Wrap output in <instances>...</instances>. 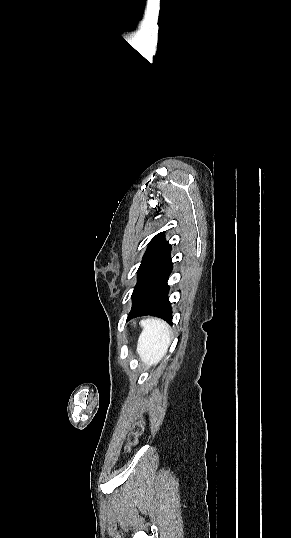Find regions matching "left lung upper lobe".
Listing matches in <instances>:
<instances>
[{
  "label": "left lung upper lobe",
  "instance_id": "1",
  "mask_svg": "<svg viewBox=\"0 0 291 538\" xmlns=\"http://www.w3.org/2000/svg\"><path fill=\"white\" fill-rule=\"evenodd\" d=\"M171 245L165 239V233L161 232L153 237L148 244L146 252L142 258L141 265L137 271L138 279L149 265L162 253H164Z\"/></svg>",
  "mask_w": 291,
  "mask_h": 538
}]
</instances>
